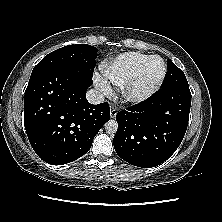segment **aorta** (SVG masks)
Returning a JSON list of instances; mask_svg holds the SVG:
<instances>
[{"label":"aorta","instance_id":"aorta-1","mask_svg":"<svg viewBox=\"0 0 222 222\" xmlns=\"http://www.w3.org/2000/svg\"><path fill=\"white\" fill-rule=\"evenodd\" d=\"M105 130L106 132H108L109 134H114L117 132L118 130V123L115 120H108L105 123Z\"/></svg>","mask_w":222,"mask_h":222}]
</instances>
